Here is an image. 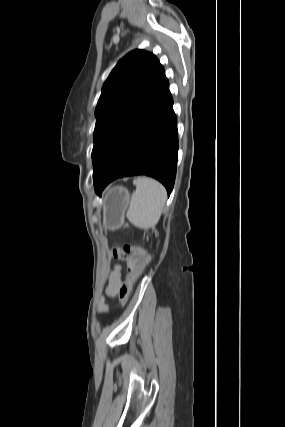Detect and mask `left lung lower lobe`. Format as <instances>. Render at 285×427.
I'll return each instance as SVG.
<instances>
[{"label": "left lung lower lobe", "mask_w": 285, "mask_h": 427, "mask_svg": "<svg viewBox=\"0 0 285 427\" xmlns=\"http://www.w3.org/2000/svg\"><path fill=\"white\" fill-rule=\"evenodd\" d=\"M167 78L149 105L129 125L114 146L94 163L97 194L116 178L148 175L170 195L176 175L177 121Z\"/></svg>", "instance_id": "obj_1"}]
</instances>
